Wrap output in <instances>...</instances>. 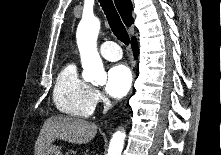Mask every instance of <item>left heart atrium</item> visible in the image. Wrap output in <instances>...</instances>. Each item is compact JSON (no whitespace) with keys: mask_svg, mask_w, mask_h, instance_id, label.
<instances>
[{"mask_svg":"<svg viewBox=\"0 0 221 155\" xmlns=\"http://www.w3.org/2000/svg\"><path fill=\"white\" fill-rule=\"evenodd\" d=\"M131 83L129 68L122 64L115 65L107 73L106 92L113 98H122L129 92Z\"/></svg>","mask_w":221,"mask_h":155,"instance_id":"39dd6f15","label":"left heart atrium"}]
</instances>
